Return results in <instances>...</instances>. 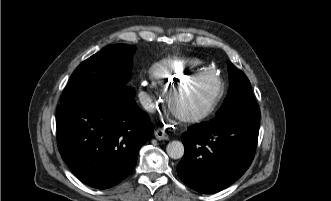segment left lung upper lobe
Instances as JSON below:
<instances>
[{"mask_svg":"<svg viewBox=\"0 0 331 201\" xmlns=\"http://www.w3.org/2000/svg\"><path fill=\"white\" fill-rule=\"evenodd\" d=\"M230 89L228 97L217 116L241 110L258 108L252 94L251 84L246 75L228 62Z\"/></svg>","mask_w":331,"mask_h":201,"instance_id":"5c2ea615","label":"left lung upper lobe"}]
</instances>
